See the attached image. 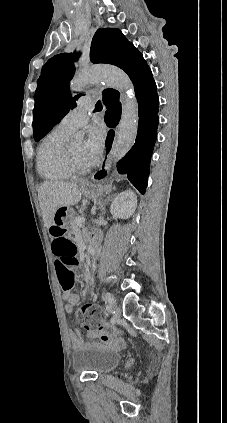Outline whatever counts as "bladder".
Wrapping results in <instances>:
<instances>
[{"instance_id": "31cf9c89", "label": "bladder", "mask_w": 227, "mask_h": 423, "mask_svg": "<svg viewBox=\"0 0 227 423\" xmlns=\"http://www.w3.org/2000/svg\"><path fill=\"white\" fill-rule=\"evenodd\" d=\"M75 371H89L102 376L122 364V354L112 349L87 345L72 357Z\"/></svg>"}]
</instances>
